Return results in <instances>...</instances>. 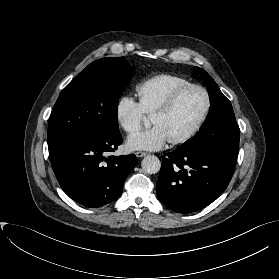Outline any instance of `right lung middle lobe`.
Instances as JSON below:
<instances>
[{
	"label": "right lung middle lobe",
	"instance_id": "obj_1",
	"mask_svg": "<svg viewBox=\"0 0 279 279\" xmlns=\"http://www.w3.org/2000/svg\"><path fill=\"white\" fill-rule=\"evenodd\" d=\"M132 75L122 58H102L89 64L62 90L53 107L48 149L119 132L118 100Z\"/></svg>",
	"mask_w": 279,
	"mask_h": 279
}]
</instances>
